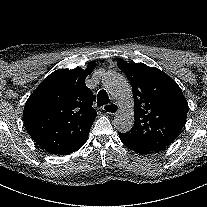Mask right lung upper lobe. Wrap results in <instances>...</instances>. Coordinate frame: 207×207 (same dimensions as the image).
<instances>
[{
    "mask_svg": "<svg viewBox=\"0 0 207 207\" xmlns=\"http://www.w3.org/2000/svg\"><path fill=\"white\" fill-rule=\"evenodd\" d=\"M59 69L51 73L30 95L23 112L31 138L51 154H70L87 140L96 117L93 93L85 78L95 69Z\"/></svg>",
    "mask_w": 207,
    "mask_h": 207,
    "instance_id": "1",
    "label": "right lung upper lobe"
}]
</instances>
